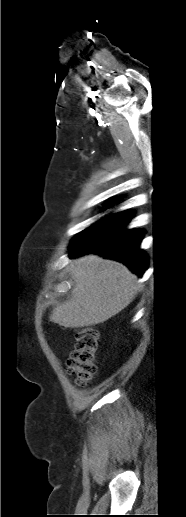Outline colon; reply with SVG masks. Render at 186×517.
I'll use <instances>...</instances> for the list:
<instances>
[{
    "mask_svg": "<svg viewBox=\"0 0 186 517\" xmlns=\"http://www.w3.org/2000/svg\"><path fill=\"white\" fill-rule=\"evenodd\" d=\"M99 331L94 327H84L75 332V348L68 363V372L76 377L79 384H87L96 373Z\"/></svg>",
    "mask_w": 186,
    "mask_h": 517,
    "instance_id": "colon-1",
    "label": "colon"
}]
</instances>
